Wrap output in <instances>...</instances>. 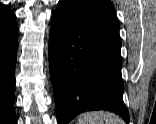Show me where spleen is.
<instances>
[{
    "instance_id": "obj_1",
    "label": "spleen",
    "mask_w": 156,
    "mask_h": 124,
    "mask_svg": "<svg viewBox=\"0 0 156 124\" xmlns=\"http://www.w3.org/2000/svg\"><path fill=\"white\" fill-rule=\"evenodd\" d=\"M76 124H125L116 114L106 111H94L81 114Z\"/></svg>"
}]
</instances>
